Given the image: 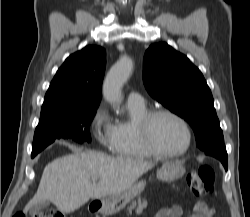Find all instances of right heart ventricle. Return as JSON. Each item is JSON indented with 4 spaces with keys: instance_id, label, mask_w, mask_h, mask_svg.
<instances>
[{
    "instance_id": "1",
    "label": "right heart ventricle",
    "mask_w": 250,
    "mask_h": 217,
    "mask_svg": "<svg viewBox=\"0 0 250 217\" xmlns=\"http://www.w3.org/2000/svg\"><path fill=\"white\" fill-rule=\"evenodd\" d=\"M129 119L114 123L112 151L119 156L137 159L155 157L142 143L138 122L148 112L145 104H127Z\"/></svg>"
}]
</instances>
